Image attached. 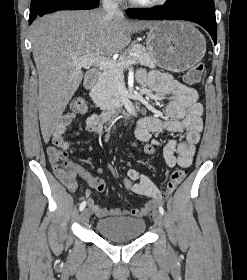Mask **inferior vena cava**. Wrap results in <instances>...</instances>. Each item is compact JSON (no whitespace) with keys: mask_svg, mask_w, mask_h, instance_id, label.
I'll use <instances>...</instances> for the list:
<instances>
[{"mask_svg":"<svg viewBox=\"0 0 247 280\" xmlns=\"http://www.w3.org/2000/svg\"><path fill=\"white\" fill-rule=\"evenodd\" d=\"M102 7L104 12L109 15H122V12L115 0H103Z\"/></svg>","mask_w":247,"mask_h":280,"instance_id":"inferior-vena-cava-1","label":"inferior vena cava"}]
</instances>
